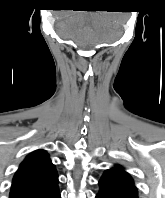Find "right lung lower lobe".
Segmentation results:
<instances>
[{"label": "right lung lower lobe", "mask_w": 165, "mask_h": 198, "mask_svg": "<svg viewBox=\"0 0 165 198\" xmlns=\"http://www.w3.org/2000/svg\"><path fill=\"white\" fill-rule=\"evenodd\" d=\"M41 198H61L60 197V192H59V189L56 188L54 189L53 191H51L50 193L42 196Z\"/></svg>", "instance_id": "98d812e1"}]
</instances>
